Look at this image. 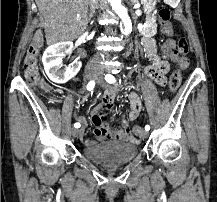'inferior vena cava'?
Returning a JSON list of instances; mask_svg holds the SVG:
<instances>
[{
    "label": "inferior vena cava",
    "instance_id": "602c4592",
    "mask_svg": "<svg viewBox=\"0 0 217 202\" xmlns=\"http://www.w3.org/2000/svg\"><path fill=\"white\" fill-rule=\"evenodd\" d=\"M97 2H98V0H89V4H90L92 10H94V8H96Z\"/></svg>",
    "mask_w": 217,
    "mask_h": 202
}]
</instances>
